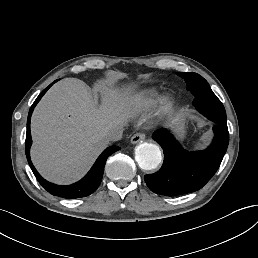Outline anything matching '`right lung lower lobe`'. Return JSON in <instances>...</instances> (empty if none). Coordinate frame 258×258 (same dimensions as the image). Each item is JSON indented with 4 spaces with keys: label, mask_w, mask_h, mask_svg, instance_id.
I'll return each mask as SVG.
<instances>
[{
    "label": "right lung lower lobe",
    "mask_w": 258,
    "mask_h": 258,
    "mask_svg": "<svg viewBox=\"0 0 258 258\" xmlns=\"http://www.w3.org/2000/svg\"><path fill=\"white\" fill-rule=\"evenodd\" d=\"M56 82V81H55ZM53 84V83H52ZM50 84L46 89H44L40 95L37 97L35 102L30 108L27 120V133H26V142H25V150L28 163L38 180V182L43 186L45 190H47L50 194L62 197L65 199H75L80 197H85L92 194L100 185L102 181V176L104 172V167L106 164L107 158L114 152L118 151L120 148L118 146H110L106 148L101 155L98 157L90 171L83 177L80 181L67 186H60L46 181L40 174L37 172L35 167L33 166L30 159V146L32 144L31 133H30V119L34 107L40 101L45 92L51 87Z\"/></svg>",
    "instance_id": "right-lung-lower-lobe-1"
}]
</instances>
